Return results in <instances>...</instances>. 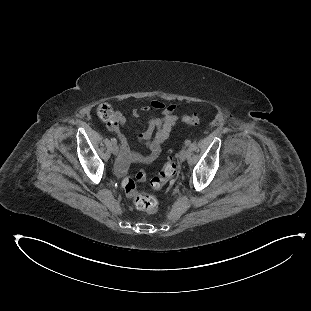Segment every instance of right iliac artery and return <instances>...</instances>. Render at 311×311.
<instances>
[{
	"label": "right iliac artery",
	"instance_id": "82829eb1",
	"mask_svg": "<svg viewBox=\"0 0 311 311\" xmlns=\"http://www.w3.org/2000/svg\"><path fill=\"white\" fill-rule=\"evenodd\" d=\"M111 141H112L113 144H116V143H117L116 138H111Z\"/></svg>",
	"mask_w": 311,
	"mask_h": 311
}]
</instances>
